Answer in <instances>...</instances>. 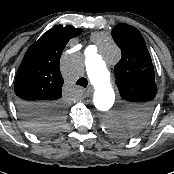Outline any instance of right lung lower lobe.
Instances as JSON below:
<instances>
[{
    "label": "right lung lower lobe",
    "instance_id": "1",
    "mask_svg": "<svg viewBox=\"0 0 174 174\" xmlns=\"http://www.w3.org/2000/svg\"><path fill=\"white\" fill-rule=\"evenodd\" d=\"M16 104L20 115L25 121L27 118L33 117L35 114L49 110H58L61 107L60 102L52 105L42 102L17 100Z\"/></svg>",
    "mask_w": 174,
    "mask_h": 174
}]
</instances>
